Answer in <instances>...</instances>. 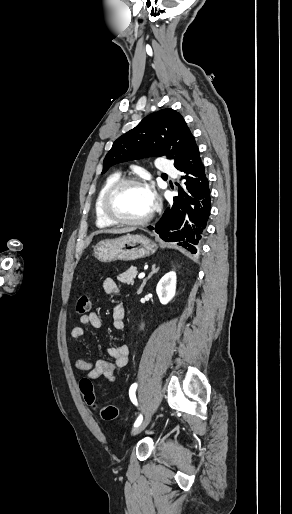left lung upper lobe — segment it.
I'll return each instance as SVG.
<instances>
[{
    "instance_id": "left-lung-upper-lobe-1",
    "label": "left lung upper lobe",
    "mask_w": 292,
    "mask_h": 514,
    "mask_svg": "<svg viewBox=\"0 0 292 514\" xmlns=\"http://www.w3.org/2000/svg\"><path fill=\"white\" fill-rule=\"evenodd\" d=\"M184 118L173 109H163L147 116L135 128L119 137L105 156L103 171L112 165L150 156L166 155L178 167L194 141Z\"/></svg>"
}]
</instances>
